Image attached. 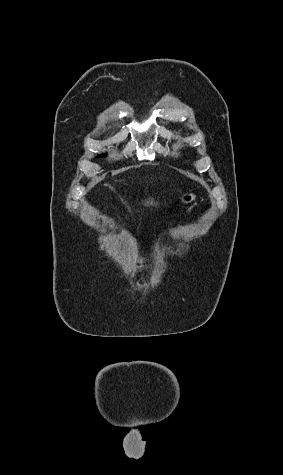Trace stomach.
<instances>
[{
  "label": "stomach",
  "mask_w": 283,
  "mask_h": 475,
  "mask_svg": "<svg viewBox=\"0 0 283 475\" xmlns=\"http://www.w3.org/2000/svg\"><path fill=\"white\" fill-rule=\"evenodd\" d=\"M195 198H196L195 194H185V196L181 198V202L182 204H190V202H193Z\"/></svg>",
  "instance_id": "stomach-1"
}]
</instances>
